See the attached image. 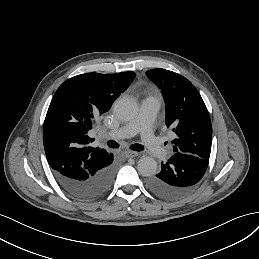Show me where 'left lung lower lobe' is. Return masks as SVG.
<instances>
[{
  "mask_svg": "<svg viewBox=\"0 0 259 259\" xmlns=\"http://www.w3.org/2000/svg\"><path fill=\"white\" fill-rule=\"evenodd\" d=\"M209 160L176 152L155 176H150L147 186L150 191L165 199H178L189 194L204 176Z\"/></svg>",
  "mask_w": 259,
  "mask_h": 259,
  "instance_id": "left-lung-lower-lobe-1",
  "label": "left lung lower lobe"
}]
</instances>
